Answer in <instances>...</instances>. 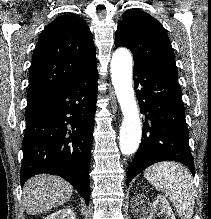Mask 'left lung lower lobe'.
I'll list each match as a JSON object with an SVG mask.
<instances>
[{"mask_svg": "<svg viewBox=\"0 0 211 219\" xmlns=\"http://www.w3.org/2000/svg\"><path fill=\"white\" fill-rule=\"evenodd\" d=\"M133 73L145 122L141 145L128 169L127 185L159 161H179L195 173L177 69L134 63Z\"/></svg>", "mask_w": 211, "mask_h": 219, "instance_id": "obj_1", "label": "left lung lower lobe"}]
</instances>
